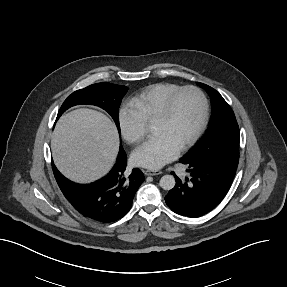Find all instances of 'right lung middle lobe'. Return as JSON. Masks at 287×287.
I'll return each instance as SVG.
<instances>
[{"instance_id": "obj_1", "label": "right lung middle lobe", "mask_w": 287, "mask_h": 287, "mask_svg": "<svg viewBox=\"0 0 287 287\" xmlns=\"http://www.w3.org/2000/svg\"><path fill=\"white\" fill-rule=\"evenodd\" d=\"M127 90L126 86L107 82L93 84L84 89L77 90L64 101L57 118L71 106L78 104L96 105L112 116L120 133L118 109Z\"/></svg>"}]
</instances>
